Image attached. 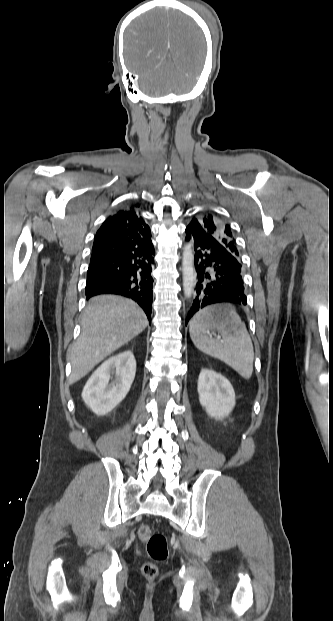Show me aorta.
<instances>
[{
	"instance_id": "762f6f07",
	"label": "aorta",
	"mask_w": 333,
	"mask_h": 621,
	"mask_svg": "<svg viewBox=\"0 0 333 621\" xmlns=\"http://www.w3.org/2000/svg\"><path fill=\"white\" fill-rule=\"evenodd\" d=\"M183 290L186 298H190L195 287L194 254L191 245L183 249L182 258Z\"/></svg>"
}]
</instances>
